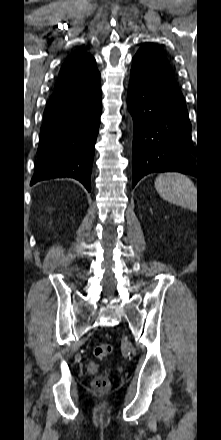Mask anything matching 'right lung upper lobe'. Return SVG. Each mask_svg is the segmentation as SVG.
Masks as SVG:
<instances>
[{
  "label": "right lung upper lobe",
  "instance_id": "right-lung-upper-lobe-1",
  "mask_svg": "<svg viewBox=\"0 0 221 440\" xmlns=\"http://www.w3.org/2000/svg\"><path fill=\"white\" fill-rule=\"evenodd\" d=\"M100 78L95 59L84 50L72 53L61 67L54 90L82 87Z\"/></svg>",
  "mask_w": 221,
  "mask_h": 440
}]
</instances>
